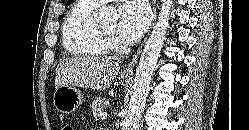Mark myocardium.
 Here are the masks:
<instances>
[{
    "instance_id": "myocardium-1",
    "label": "myocardium",
    "mask_w": 249,
    "mask_h": 130,
    "mask_svg": "<svg viewBox=\"0 0 249 130\" xmlns=\"http://www.w3.org/2000/svg\"><path fill=\"white\" fill-rule=\"evenodd\" d=\"M99 28V33L105 43V45L107 46L108 49L113 48L114 44H115V34L106 31L102 26L98 25Z\"/></svg>"
}]
</instances>
